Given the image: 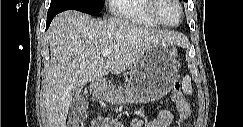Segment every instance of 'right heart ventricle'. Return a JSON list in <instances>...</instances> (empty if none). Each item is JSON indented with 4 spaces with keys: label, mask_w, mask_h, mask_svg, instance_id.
Segmentation results:
<instances>
[{
    "label": "right heart ventricle",
    "mask_w": 243,
    "mask_h": 127,
    "mask_svg": "<svg viewBox=\"0 0 243 127\" xmlns=\"http://www.w3.org/2000/svg\"><path fill=\"white\" fill-rule=\"evenodd\" d=\"M110 9L115 17L130 24L145 28L161 26L150 15L149 0H112Z\"/></svg>",
    "instance_id": "e07e8e85"
}]
</instances>
